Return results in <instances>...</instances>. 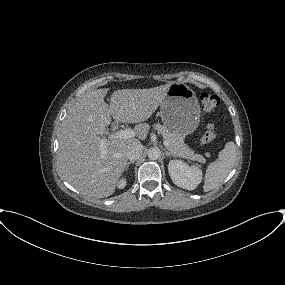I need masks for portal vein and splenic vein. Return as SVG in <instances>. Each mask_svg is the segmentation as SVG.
Instances as JSON below:
<instances>
[{
    "label": "portal vein and splenic vein",
    "instance_id": "18ae733b",
    "mask_svg": "<svg viewBox=\"0 0 285 285\" xmlns=\"http://www.w3.org/2000/svg\"><path fill=\"white\" fill-rule=\"evenodd\" d=\"M136 133L132 129H124V130H119L115 132L114 134L110 135V139H129L135 137ZM164 145L167 147L169 145L167 140H164ZM100 148L102 150V153H105V148H106V139H102L100 143Z\"/></svg>",
    "mask_w": 285,
    "mask_h": 285
}]
</instances>
